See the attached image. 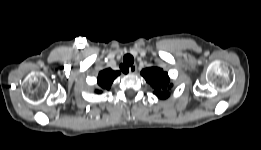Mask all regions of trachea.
Here are the masks:
<instances>
[{
    "instance_id": "trachea-1",
    "label": "trachea",
    "mask_w": 261,
    "mask_h": 150,
    "mask_svg": "<svg viewBox=\"0 0 261 150\" xmlns=\"http://www.w3.org/2000/svg\"><path fill=\"white\" fill-rule=\"evenodd\" d=\"M123 62L126 66H131L134 63V58L132 55L127 54L123 57ZM126 66L122 65L121 69L124 70Z\"/></svg>"
}]
</instances>
